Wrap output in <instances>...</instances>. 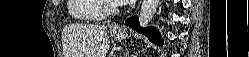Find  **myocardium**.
Masks as SVG:
<instances>
[{
  "instance_id": "obj_1",
  "label": "myocardium",
  "mask_w": 249,
  "mask_h": 57,
  "mask_svg": "<svg viewBox=\"0 0 249 57\" xmlns=\"http://www.w3.org/2000/svg\"><path fill=\"white\" fill-rule=\"evenodd\" d=\"M101 10L105 15H115L121 10V5L114 0H101Z\"/></svg>"
}]
</instances>
